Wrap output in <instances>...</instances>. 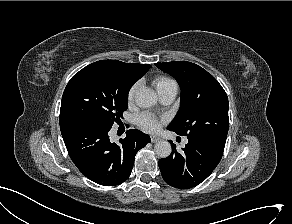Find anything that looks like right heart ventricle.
Returning <instances> with one entry per match:
<instances>
[{"label": "right heart ventricle", "mask_w": 292, "mask_h": 224, "mask_svg": "<svg viewBox=\"0 0 292 224\" xmlns=\"http://www.w3.org/2000/svg\"><path fill=\"white\" fill-rule=\"evenodd\" d=\"M154 84L157 88V91L159 89H162L168 85L176 84L174 80L167 78V77H159L154 81Z\"/></svg>", "instance_id": "obj_1"}]
</instances>
